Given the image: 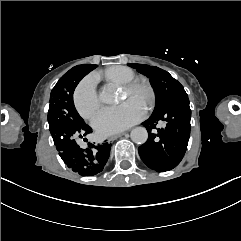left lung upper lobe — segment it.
<instances>
[{"mask_svg": "<svg viewBox=\"0 0 241 241\" xmlns=\"http://www.w3.org/2000/svg\"><path fill=\"white\" fill-rule=\"evenodd\" d=\"M136 68L138 72L150 78L152 87L156 95V105L153 113L171 102L174 98L187 95L183 86L174 79L168 72L154 66L145 64H128Z\"/></svg>", "mask_w": 241, "mask_h": 241, "instance_id": "left-lung-upper-lobe-1", "label": "left lung upper lobe"}]
</instances>
